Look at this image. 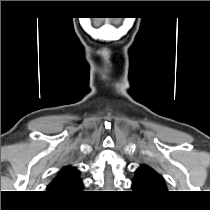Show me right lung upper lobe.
<instances>
[{"label":"right lung upper lobe","instance_id":"right-lung-upper-lobe-1","mask_svg":"<svg viewBox=\"0 0 210 210\" xmlns=\"http://www.w3.org/2000/svg\"><path fill=\"white\" fill-rule=\"evenodd\" d=\"M82 188L83 182L77 168L67 166L58 172L57 177L47 187V191L57 196H68L80 193Z\"/></svg>","mask_w":210,"mask_h":210}]
</instances>
